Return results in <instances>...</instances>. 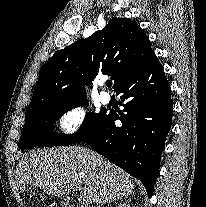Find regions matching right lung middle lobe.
<instances>
[{"instance_id": "right-lung-middle-lobe-1", "label": "right lung middle lobe", "mask_w": 206, "mask_h": 207, "mask_svg": "<svg viewBox=\"0 0 206 207\" xmlns=\"http://www.w3.org/2000/svg\"><path fill=\"white\" fill-rule=\"evenodd\" d=\"M80 105L87 106L88 100L81 98L48 103L26 112V123L18 147L26 149L34 145L46 147L72 145L89 136L106 116V110H101L99 113H86L81 127L72 135L53 133L55 122L65 112Z\"/></svg>"}]
</instances>
